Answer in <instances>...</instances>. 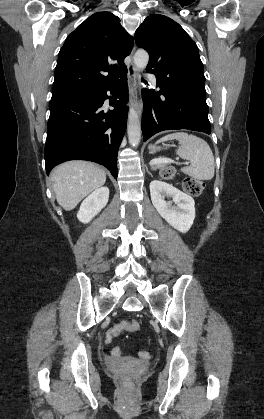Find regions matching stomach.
I'll return each mask as SVG.
<instances>
[{
    "mask_svg": "<svg viewBox=\"0 0 264 419\" xmlns=\"http://www.w3.org/2000/svg\"><path fill=\"white\" fill-rule=\"evenodd\" d=\"M169 145H164V148H167ZM163 147L150 145L149 149L151 153H155L156 151H160Z\"/></svg>",
    "mask_w": 264,
    "mask_h": 419,
    "instance_id": "stomach-1",
    "label": "stomach"
}]
</instances>
